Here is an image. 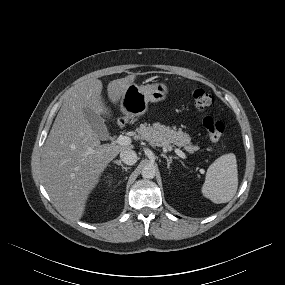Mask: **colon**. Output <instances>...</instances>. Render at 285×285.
I'll list each match as a JSON object with an SVG mask.
<instances>
[{"label": "colon", "mask_w": 285, "mask_h": 285, "mask_svg": "<svg viewBox=\"0 0 285 285\" xmlns=\"http://www.w3.org/2000/svg\"><path fill=\"white\" fill-rule=\"evenodd\" d=\"M192 104L196 110H204L214 104V97L208 91L197 88L192 93ZM203 126L211 143L220 141L225 130V125L222 121L206 116L203 119Z\"/></svg>", "instance_id": "colon-1"}]
</instances>
